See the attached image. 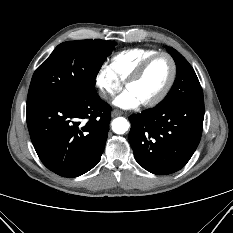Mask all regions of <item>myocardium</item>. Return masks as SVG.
Here are the masks:
<instances>
[{
	"label": "myocardium",
	"mask_w": 233,
	"mask_h": 233,
	"mask_svg": "<svg viewBox=\"0 0 233 233\" xmlns=\"http://www.w3.org/2000/svg\"><path fill=\"white\" fill-rule=\"evenodd\" d=\"M160 57H166L170 60V63L172 66L171 77H170L169 81L167 82L166 86L163 88V90L157 96H155L151 100L140 103L143 107L149 108V107H154V106L158 105L160 102H162L164 100V98L168 95V93L172 89V87L175 83V80H176V76H177V65H176V62L173 59V57L166 52H158V53L150 56L149 58L144 60L137 67V69L132 73V75L129 78H127V80L124 82V87L127 88L130 84L135 83L138 80H140V78L143 76V74L145 73L147 68L150 66V64Z\"/></svg>",
	"instance_id": "f54148a6"
}]
</instances>
